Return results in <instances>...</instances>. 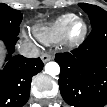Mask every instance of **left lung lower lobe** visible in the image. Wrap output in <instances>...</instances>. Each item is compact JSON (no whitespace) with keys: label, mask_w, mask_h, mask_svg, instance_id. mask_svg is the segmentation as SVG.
Returning <instances> with one entry per match:
<instances>
[{"label":"left lung lower lobe","mask_w":107,"mask_h":107,"mask_svg":"<svg viewBox=\"0 0 107 107\" xmlns=\"http://www.w3.org/2000/svg\"><path fill=\"white\" fill-rule=\"evenodd\" d=\"M55 57L66 103L74 107H102L107 103V22L93 28L77 49Z\"/></svg>","instance_id":"0a47b994"}]
</instances>
